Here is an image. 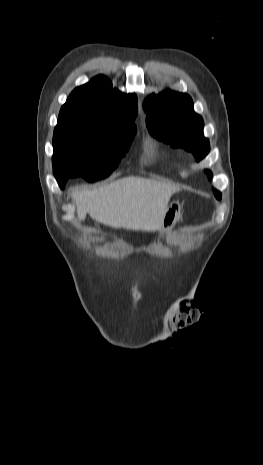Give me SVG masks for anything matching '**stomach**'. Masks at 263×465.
Wrapping results in <instances>:
<instances>
[{"instance_id":"0dacf381","label":"stomach","mask_w":263,"mask_h":465,"mask_svg":"<svg viewBox=\"0 0 263 465\" xmlns=\"http://www.w3.org/2000/svg\"><path fill=\"white\" fill-rule=\"evenodd\" d=\"M181 212V204L179 201H173L166 209L164 217L161 222L160 232L166 233L170 231L177 220L179 219Z\"/></svg>"}]
</instances>
